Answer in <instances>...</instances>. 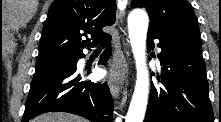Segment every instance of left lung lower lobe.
Segmentation results:
<instances>
[{
    "mask_svg": "<svg viewBox=\"0 0 221 122\" xmlns=\"http://www.w3.org/2000/svg\"><path fill=\"white\" fill-rule=\"evenodd\" d=\"M154 39L160 41L163 86H152L144 122H214L201 44L149 27L148 52Z\"/></svg>",
    "mask_w": 221,
    "mask_h": 122,
    "instance_id": "obj_1",
    "label": "left lung lower lobe"
}]
</instances>
